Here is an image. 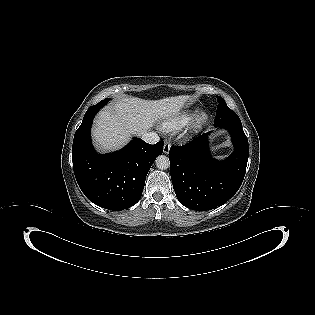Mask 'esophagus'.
I'll list each match as a JSON object with an SVG mask.
<instances>
[{"mask_svg":"<svg viewBox=\"0 0 315 315\" xmlns=\"http://www.w3.org/2000/svg\"><path fill=\"white\" fill-rule=\"evenodd\" d=\"M170 147H171L170 143L166 141V142L164 143V146H163V152H164L165 154H168L169 151H170Z\"/></svg>","mask_w":315,"mask_h":315,"instance_id":"1","label":"esophagus"}]
</instances>
